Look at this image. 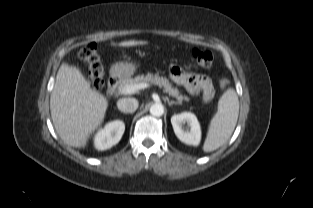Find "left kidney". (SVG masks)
<instances>
[{
    "label": "left kidney",
    "instance_id": "obj_1",
    "mask_svg": "<svg viewBox=\"0 0 313 208\" xmlns=\"http://www.w3.org/2000/svg\"><path fill=\"white\" fill-rule=\"evenodd\" d=\"M173 130L177 138L185 144L198 146L201 140V128L197 117L191 112H182L171 117ZM185 123L187 126L185 127Z\"/></svg>",
    "mask_w": 313,
    "mask_h": 208
}]
</instances>
